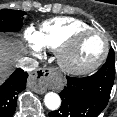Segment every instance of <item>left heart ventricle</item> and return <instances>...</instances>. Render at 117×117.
Here are the masks:
<instances>
[{
    "mask_svg": "<svg viewBox=\"0 0 117 117\" xmlns=\"http://www.w3.org/2000/svg\"><path fill=\"white\" fill-rule=\"evenodd\" d=\"M104 41L98 35H88L80 40L72 60L76 64L85 65L95 61L103 52Z\"/></svg>",
    "mask_w": 117,
    "mask_h": 117,
    "instance_id": "left-heart-ventricle-1",
    "label": "left heart ventricle"
}]
</instances>
